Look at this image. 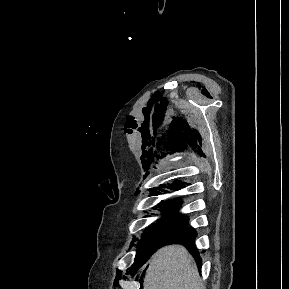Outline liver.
Returning <instances> with one entry per match:
<instances>
[{
  "label": "liver",
  "mask_w": 289,
  "mask_h": 289,
  "mask_svg": "<svg viewBox=\"0 0 289 289\" xmlns=\"http://www.w3.org/2000/svg\"><path fill=\"white\" fill-rule=\"evenodd\" d=\"M143 289H203V285L188 250L181 245H169L150 259Z\"/></svg>",
  "instance_id": "1"
}]
</instances>
